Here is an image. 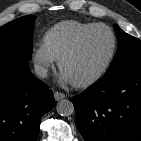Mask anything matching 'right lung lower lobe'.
Instances as JSON below:
<instances>
[{"mask_svg":"<svg viewBox=\"0 0 141 141\" xmlns=\"http://www.w3.org/2000/svg\"><path fill=\"white\" fill-rule=\"evenodd\" d=\"M54 106L52 91L28 62L0 63V141H37L40 120Z\"/></svg>","mask_w":141,"mask_h":141,"instance_id":"right-lung-lower-lobe-1","label":"right lung lower lobe"}]
</instances>
